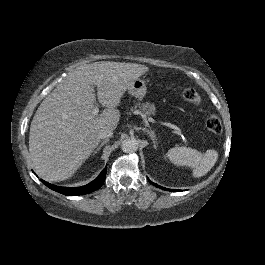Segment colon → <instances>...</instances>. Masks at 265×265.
<instances>
[{"instance_id":"obj_1","label":"colon","mask_w":265,"mask_h":265,"mask_svg":"<svg viewBox=\"0 0 265 265\" xmlns=\"http://www.w3.org/2000/svg\"><path fill=\"white\" fill-rule=\"evenodd\" d=\"M182 94L184 99L190 104L199 105L201 102L199 93L191 87H185L182 91ZM206 126L208 130L213 133H219L222 129L221 120L216 114H210L207 117Z\"/></svg>"}]
</instances>
